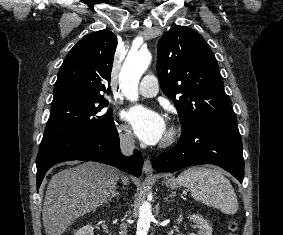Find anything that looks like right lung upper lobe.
I'll return each mask as SVG.
<instances>
[{"label": "right lung upper lobe", "instance_id": "right-lung-upper-lobe-1", "mask_svg": "<svg viewBox=\"0 0 283 235\" xmlns=\"http://www.w3.org/2000/svg\"><path fill=\"white\" fill-rule=\"evenodd\" d=\"M116 46V36L108 30L84 36L69 51L59 70L53 103L71 97H94L109 93Z\"/></svg>", "mask_w": 283, "mask_h": 235}]
</instances>
